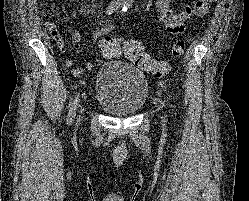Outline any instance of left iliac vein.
Wrapping results in <instances>:
<instances>
[{"instance_id": "obj_1", "label": "left iliac vein", "mask_w": 249, "mask_h": 201, "mask_svg": "<svg viewBox=\"0 0 249 201\" xmlns=\"http://www.w3.org/2000/svg\"><path fill=\"white\" fill-rule=\"evenodd\" d=\"M164 123H165V120H163V125H165Z\"/></svg>"}]
</instances>
